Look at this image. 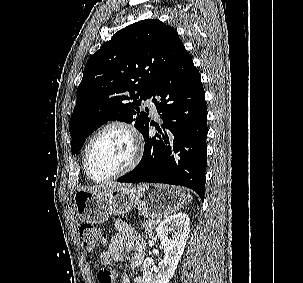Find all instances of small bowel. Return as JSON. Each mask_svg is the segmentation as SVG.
Wrapping results in <instances>:
<instances>
[{
	"label": "small bowel",
	"mask_w": 303,
	"mask_h": 283,
	"mask_svg": "<svg viewBox=\"0 0 303 283\" xmlns=\"http://www.w3.org/2000/svg\"><path fill=\"white\" fill-rule=\"evenodd\" d=\"M116 233L111 238L107 251L100 254V262L108 266L112 260L121 261L125 254L133 251L131 267L137 268L145 258L146 243L132 227L122 220L115 222ZM121 283H131L128 275L123 274ZM134 283H143L141 278H136Z\"/></svg>",
	"instance_id": "c3829d8e"
}]
</instances>
